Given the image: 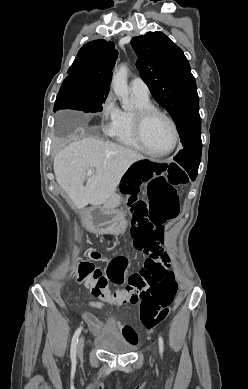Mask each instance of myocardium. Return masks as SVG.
<instances>
[{"mask_svg":"<svg viewBox=\"0 0 248 389\" xmlns=\"http://www.w3.org/2000/svg\"><path fill=\"white\" fill-rule=\"evenodd\" d=\"M153 115L162 116L164 119L168 121V123L172 128V132H173L172 146L168 150L163 152H155L151 150L147 146L144 139V127L147 121L149 120V118L152 117ZM133 120H134V133L136 139L139 142L140 146L142 147L143 151H145L147 154L155 157H164L171 154L176 149L179 141L178 128L173 118L170 117L166 112H164L163 110L155 106L142 107L135 110Z\"/></svg>","mask_w":248,"mask_h":389,"instance_id":"f54148a6","label":"myocardium"}]
</instances>
